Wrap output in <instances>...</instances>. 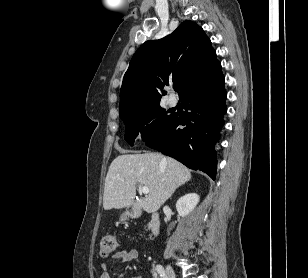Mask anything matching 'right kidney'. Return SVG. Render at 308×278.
Listing matches in <instances>:
<instances>
[{"label":"right kidney","instance_id":"right-kidney-1","mask_svg":"<svg viewBox=\"0 0 308 278\" xmlns=\"http://www.w3.org/2000/svg\"><path fill=\"white\" fill-rule=\"evenodd\" d=\"M198 202L199 196L196 193H189L177 201L176 209L181 217H185L194 210Z\"/></svg>","mask_w":308,"mask_h":278}]
</instances>
